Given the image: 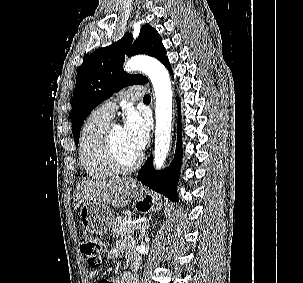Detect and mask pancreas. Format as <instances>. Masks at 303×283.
Wrapping results in <instances>:
<instances>
[{"instance_id": "1", "label": "pancreas", "mask_w": 303, "mask_h": 283, "mask_svg": "<svg viewBox=\"0 0 303 283\" xmlns=\"http://www.w3.org/2000/svg\"><path fill=\"white\" fill-rule=\"evenodd\" d=\"M131 220V216H120L113 221L112 233L116 237H124L126 235L132 234L134 225L127 223Z\"/></svg>"}]
</instances>
